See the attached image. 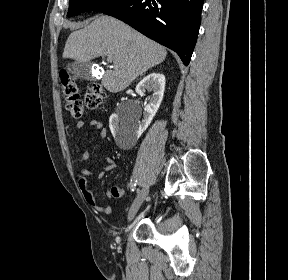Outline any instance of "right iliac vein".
<instances>
[{"instance_id": "1", "label": "right iliac vein", "mask_w": 288, "mask_h": 280, "mask_svg": "<svg viewBox=\"0 0 288 280\" xmlns=\"http://www.w3.org/2000/svg\"><path fill=\"white\" fill-rule=\"evenodd\" d=\"M149 193V187L145 186L143 187L141 190L138 191L131 207L130 210L128 212V222H131L135 215L137 214L139 208L141 207L142 203L144 202V200L146 199L147 195Z\"/></svg>"}]
</instances>
